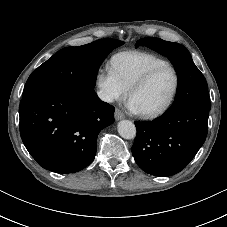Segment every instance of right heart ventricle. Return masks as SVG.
Segmentation results:
<instances>
[{
    "instance_id": "1",
    "label": "right heart ventricle",
    "mask_w": 227,
    "mask_h": 227,
    "mask_svg": "<svg viewBox=\"0 0 227 227\" xmlns=\"http://www.w3.org/2000/svg\"><path fill=\"white\" fill-rule=\"evenodd\" d=\"M167 63L166 60L152 53L129 51L115 55L111 67L120 82L128 90L147 71Z\"/></svg>"
}]
</instances>
